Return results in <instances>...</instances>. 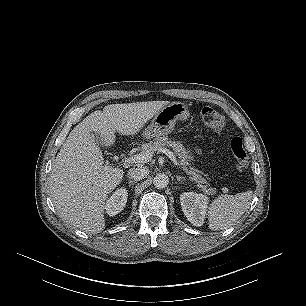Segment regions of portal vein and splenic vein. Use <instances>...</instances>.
<instances>
[{"label":"portal vein and splenic vein","instance_id":"obj_1","mask_svg":"<svg viewBox=\"0 0 306 306\" xmlns=\"http://www.w3.org/2000/svg\"><path fill=\"white\" fill-rule=\"evenodd\" d=\"M159 152L168 156L176 167L179 166V163L177 162V159H176L175 155L169 149L163 148V149H160ZM152 156H153L152 152L139 153V154L133 155L132 157L126 158L123 162H124V164L146 163V162H149L151 160Z\"/></svg>","mask_w":306,"mask_h":306}]
</instances>
